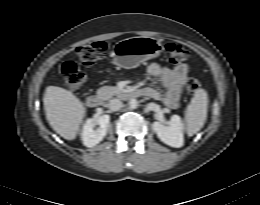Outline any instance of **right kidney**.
<instances>
[{
  "label": "right kidney",
  "instance_id": "ca27d5eb",
  "mask_svg": "<svg viewBox=\"0 0 260 205\" xmlns=\"http://www.w3.org/2000/svg\"><path fill=\"white\" fill-rule=\"evenodd\" d=\"M109 115H102L98 120L88 119L83 126L82 130V141L87 147H93L100 143L106 136L109 128ZM98 124L99 128L94 129L95 125Z\"/></svg>",
  "mask_w": 260,
  "mask_h": 205
}]
</instances>
